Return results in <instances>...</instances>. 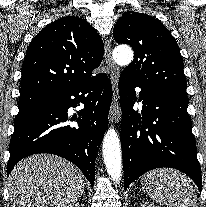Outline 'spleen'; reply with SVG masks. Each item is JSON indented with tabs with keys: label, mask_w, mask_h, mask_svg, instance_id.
I'll use <instances>...</instances> for the list:
<instances>
[{
	"label": "spleen",
	"mask_w": 206,
	"mask_h": 207,
	"mask_svg": "<svg viewBox=\"0 0 206 207\" xmlns=\"http://www.w3.org/2000/svg\"><path fill=\"white\" fill-rule=\"evenodd\" d=\"M146 194L157 204L169 207H198L196 192L181 172L163 168L147 172L141 179Z\"/></svg>",
	"instance_id": "3e777b00"
}]
</instances>
